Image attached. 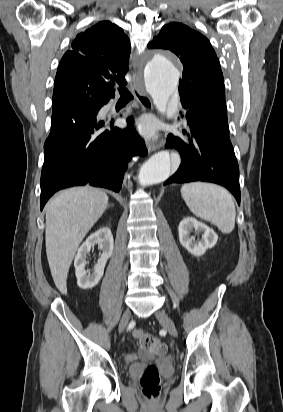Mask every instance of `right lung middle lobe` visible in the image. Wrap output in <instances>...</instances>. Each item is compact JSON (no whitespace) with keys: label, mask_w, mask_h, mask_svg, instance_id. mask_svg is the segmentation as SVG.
<instances>
[{"label":"right lung middle lobe","mask_w":283,"mask_h":412,"mask_svg":"<svg viewBox=\"0 0 283 412\" xmlns=\"http://www.w3.org/2000/svg\"><path fill=\"white\" fill-rule=\"evenodd\" d=\"M97 103H93L90 101H81L73 106H71L69 109L59 112L57 114H52V122H63L69 118H72L78 114H80L82 111L90 109V108H95Z\"/></svg>","instance_id":"obj_1"}]
</instances>
